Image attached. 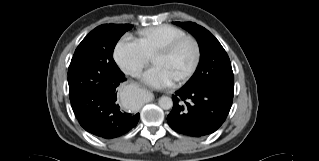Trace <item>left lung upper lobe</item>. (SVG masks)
Returning <instances> with one entry per match:
<instances>
[{
  "label": "left lung upper lobe",
  "mask_w": 319,
  "mask_h": 161,
  "mask_svg": "<svg viewBox=\"0 0 319 161\" xmlns=\"http://www.w3.org/2000/svg\"><path fill=\"white\" fill-rule=\"evenodd\" d=\"M176 24L196 38L201 54L196 73L184 87L208 89L233 97L234 75L230 59L219 41L207 29L196 23Z\"/></svg>",
  "instance_id": "left-lung-upper-lobe-1"
}]
</instances>
